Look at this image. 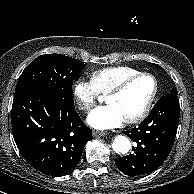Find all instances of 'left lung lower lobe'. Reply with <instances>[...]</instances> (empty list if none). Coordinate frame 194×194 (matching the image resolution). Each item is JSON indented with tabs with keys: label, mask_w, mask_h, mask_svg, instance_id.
Listing matches in <instances>:
<instances>
[{
	"label": "left lung lower lobe",
	"mask_w": 194,
	"mask_h": 194,
	"mask_svg": "<svg viewBox=\"0 0 194 194\" xmlns=\"http://www.w3.org/2000/svg\"><path fill=\"white\" fill-rule=\"evenodd\" d=\"M179 118L178 95L161 97L138 127L123 132L136 142V146H133V153L117 158L116 166L130 177L155 171L171 152Z\"/></svg>",
	"instance_id": "obj_1"
}]
</instances>
